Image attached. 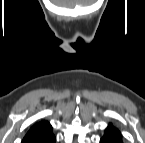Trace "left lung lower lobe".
Returning <instances> with one entry per match:
<instances>
[{
  "instance_id": "1",
  "label": "left lung lower lobe",
  "mask_w": 145,
  "mask_h": 143,
  "mask_svg": "<svg viewBox=\"0 0 145 143\" xmlns=\"http://www.w3.org/2000/svg\"><path fill=\"white\" fill-rule=\"evenodd\" d=\"M100 143H121L117 141L116 139L109 137V136H103L100 140Z\"/></svg>"
}]
</instances>
